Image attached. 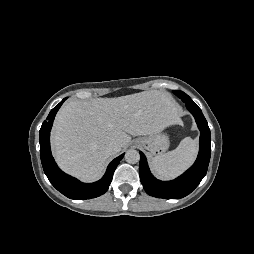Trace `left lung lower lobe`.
<instances>
[{
	"label": "left lung lower lobe",
	"mask_w": 254,
	"mask_h": 254,
	"mask_svg": "<svg viewBox=\"0 0 254 254\" xmlns=\"http://www.w3.org/2000/svg\"><path fill=\"white\" fill-rule=\"evenodd\" d=\"M187 109L194 116L200 130V148L198 157L191 168L172 181H160L152 176L147 160L140 152L139 174L141 183L147 194L163 199H180L190 194L206 175L210 155L211 136L208 123L201 109L192 103H186Z\"/></svg>",
	"instance_id": "obj_1"
}]
</instances>
